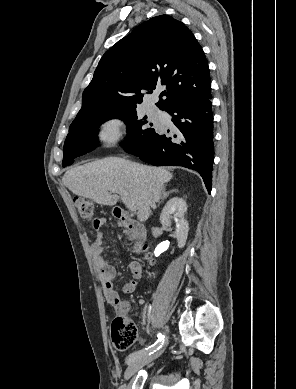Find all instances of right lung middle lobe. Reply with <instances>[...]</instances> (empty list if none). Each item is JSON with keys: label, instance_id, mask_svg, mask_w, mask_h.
Instances as JSON below:
<instances>
[{"label": "right lung middle lobe", "instance_id": "obj_1", "mask_svg": "<svg viewBox=\"0 0 296 389\" xmlns=\"http://www.w3.org/2000/svg\"><path fill=\"white\" fill-rule=\"evenodd\" d=\"M111 118L122 119L127 125V139L123 143L127 152L143 149L156 132L149 127L146 117L140 119L137 116L136 107L91 110L75 118L70 125L64 143L62 165H69L75 157L93 150L97 145V128Z\"/></svg>", "mask_w": 296, "mask_h": 389}]
</instances>
